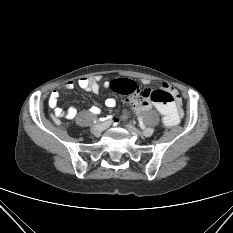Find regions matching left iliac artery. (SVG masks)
Masks as SVG:
<instances>
[{"mask_svg": "<svg viewBox=\"0 0 233 233\" xmlns=\"http://www.w3.org/2000/svg\"><path fill=\"white\" fill-rule=\"evenodd\" d=\"M153 134V129H146V130H144V135L146 136V137H149V136H151Z\"/></svg>", "mask_w": 233, "mask_h": 233, "instance_id": "1", "label": "left iliac artery"}]
</instances>
